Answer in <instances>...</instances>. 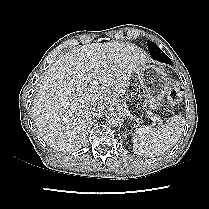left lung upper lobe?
I'll return each instance as SVG.
<instances>
[{"instance_id": "obj_1", "label": "left lung upper lobe", "mask_w": 209, "mask_h": 209, "mask_svg": "<svg viewBox=\"0 0 209 209\" xmlns=\"http://www.w3.org/2000/svg\"><path fill=\"white\" fill-rule=\"evenodd\" d=\"M150 55L157 61L172 65L170 58L152 41H147Z\"/></svg>"}]
</instances>
